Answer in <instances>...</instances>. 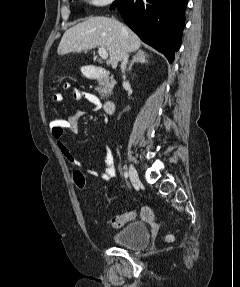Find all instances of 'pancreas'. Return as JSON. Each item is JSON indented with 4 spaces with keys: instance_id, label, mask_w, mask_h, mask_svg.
Instances as JSON below:
<instances>
[{
    "instance_id": "cf45deb5",
    "label": "pancreas",
    "mask_w": 240,
    "mask_h": 287,
    "mask_svg": "<svg viewBox=\"0 0 240 287\" xmlns=\"http://www.w3.org/2000/svg\"><path fill=\"white\" fill-rule=\"evenodd\" d=\"M116 84L113 77L110 78H104L99 80V86L96 88V91L98 92L101 99H104L105 97L109 96L112 93L113 87Z\"/></svg>"
}]
</instances>
